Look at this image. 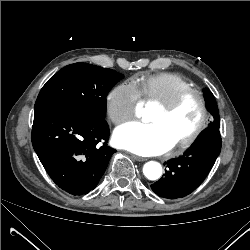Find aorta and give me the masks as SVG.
Masks as SVG:
<instances>
[{
    "mask_svg": "<svg viewBox=\"0 0 250 250\" xmlns=\"http://www.w3.org/2000/svg\"><path fill=\"white\" fill-rule=\"evenodd\" d=\"M143 173L149 180H157L162 174V166L158 162L149 161L144 165Z\"/></svg>",
    "mask_w": 250,
    "mask_h": 250,
    "instance_id": "aorta-1",
    "label": "aorta"
}]
</instances>
